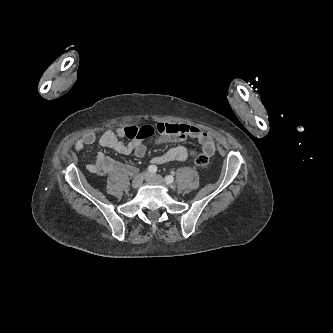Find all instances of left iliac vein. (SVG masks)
<instances>
[{"instance_id":"left-iliac-vein-1","label":"left iliac vein","mask_w":333,"mask_h":333,"mask_svg":"<svg viewBox=\"0 0 333 333\" xmlns=\"http://www.w3.org/2000/svg\"><path fill=\"white\" fill-rule=\"evenodd\" d=\"M145 180L149 183H155V184H161V185H165V181L162 178V176L157 175V174H150L147 173Z\"/></svg>"}]
</instances>
